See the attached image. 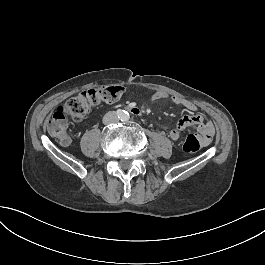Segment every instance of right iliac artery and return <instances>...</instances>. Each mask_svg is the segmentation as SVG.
Wrapping results in <instances>:
<instances>
[{"label": "right iliac artery", "instance_id": "right-iliac-artery-1", "mask_svg": "<svg viewBox=\"0 0 265 265\" xmlns=\"http://www.w3.org/2000/svg\"><path fill=\"white\" fill-rule=\"evenodd\" d=\"M124 114H125L124 110H121V109L117 110V115H118L119 118L122 117Z\"/></svg>", "mask_w": 265, "mask_h": 265}]
</instances>
